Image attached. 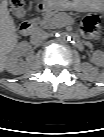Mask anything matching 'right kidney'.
<instances>
[{"mask_svg": "<svg viewBox=\"0 0 104 137\" xmlns=\"http://www.w3.org/2000/svg\"><path fill=\"white\" fill-rule=\"evenodd\" d=\"M21 55H32V50L28 43L20 42L16 47L11 51L5 60V69L14 75H19L23 73V66L18 63V58Z\"/></svg>", "mask_w": 104, "mask_h": 137, "instance_id": "right-kidney-1", "label": "right kidney"}]
</instances>
